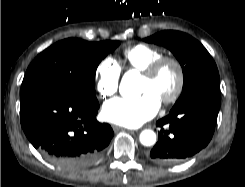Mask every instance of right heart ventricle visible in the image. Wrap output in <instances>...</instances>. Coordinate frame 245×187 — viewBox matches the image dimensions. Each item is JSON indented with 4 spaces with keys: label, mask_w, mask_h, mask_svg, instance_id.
I'll list each match as a JSON object with an SVG mask.
<instances>
[{
    "label": "right heart ventricle",
    "mask_w": 245,
    "mask_h": 187,
    "mask_svg": "<svg viewBox=\"0 0 245 187\" xmlns=\"http://www.w3.org/2000/svg\"><path fill=\"white\" fill-rule=\"evenodd\" d=\"M123 58L130 68L143 71L149 64L164 55L158 47L135 44L123 50Z\"/></svg>",
    "instance_id": "right-heart-ventricle-1"
}]
</instances>
